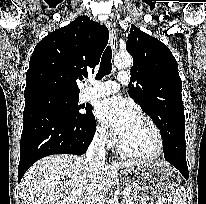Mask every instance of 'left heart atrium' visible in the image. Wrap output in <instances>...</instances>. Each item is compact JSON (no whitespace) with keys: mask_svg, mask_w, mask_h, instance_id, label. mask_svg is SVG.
<instances>
[{"mask_svg":"<svg viewBox=\"0 0 206 204\" xmlns=\"http://www.w3.org/2000/svg\"><path fill=\"white\" fill-rule=\"evenodd\" d=\"M97 116L114 132L123 138L136 117L132 105L122 97H112L101 101L96 108Z\"/></svg>","mask_w":206,"mask_h":204,"instance_id":"1","label":"left heart atrium"}]
</instances>
